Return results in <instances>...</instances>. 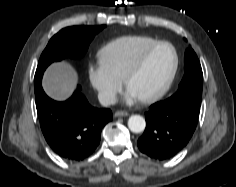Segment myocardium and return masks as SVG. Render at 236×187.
Here are the masks:
<instances>
[{"label":"myocardium","instance_id":"myocardium-1","mask_svg":"<svg viewBox=\"0 0 236 187\" xmlns=\"http://www.w3.org/2000/svg\"><path fill=\"white\" fill-rule=\"evenodd\" d=\"M161 46H168L173 51V55H174L173 66H172V69L170 71V74H169L167 80L165 81L163 86L158 91H156L153 94H150L148 96L138 98V100L142 103H152V102L159 100L171 88V86L175 80V77H176V74L178 71V67H179V55H178V52H177L175 46L167 41H157L154 44L150 45L138 56V58L133 63V65L131 66V68L128 70V72L126 73V75L124 77V84H125L126 88L128 89L130 81L140 72V70L142 69L143 65L145 64L147 58L149 57V55L154 50H156L157 48H159Z\"/></svg>","mask_w":236,"mask_h":187}]
</instances>
